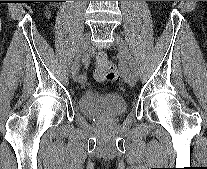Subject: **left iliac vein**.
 Here are the masks:
<instances>
[{
	"label": "left iliac vein",
	"mask_w": 207,
	"mask_h": 169,
	"mask_svg": "<svg viewBox=\"0 0 207 169\" xmlns=\"http://www.w3.org/2000/svg\"><path fill=\"white\" fill-rule=\"evenodd\" d=\"M114 37H115L116 46L118 48V51H119V54L121 55V57L123 59H125L129 65L135 64L134 59H133L131 53L129 52V49H128L125 41L123 40V38L116 33L114 34ZM124 80L126 83H128L130 86L133 87V86H135V84L137 82V75H135L133 72L130 73L129 71H127L125 73Z\"/></svg>",
	"instance_id": "1"
}]
</instances>
